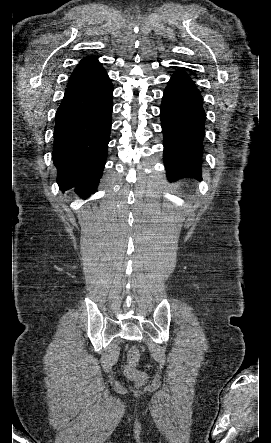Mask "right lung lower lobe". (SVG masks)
I'll return each mask as SVG.
<instances>
[{
  "mask_svg": "<svg viewBox=\"0 0 271 443\" xmlns=\"http://www.w3.org/2000/svg\"><path fill=\"white\" fill-rule=\"evenodd\" d=\"M113 86L109 78L67 87L56 112L53 162L57 183L84 198L102 176L111 130Z\"/></svg>",
  "mask_w": 271,
  "mask_h": 443,
  "instance_id": "obj_1",
  "label": "right lung lower lobe"
}]
</instances>
